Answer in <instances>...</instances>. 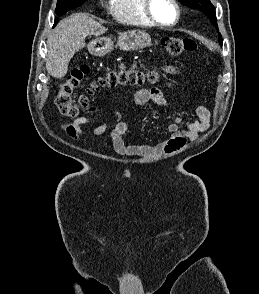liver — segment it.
Returning a JSON list of instances; mask_svg holds the SVG:
<instances>
[{"label": "liver", "mask_w": 259, "mask_h": 294, "mask_svg": "<svg viewBox=\"0 0 259 294\" xmlns=\"http://www.w3.org/2000/svg\"><path fill=\"white\" fill-rule=\"evenodd\" d=\"M107 28L86 13H76L61 20L47 41L46 69L54 78H62L76 52L84 48L89 35H100Z\"/></svg>", "instance_id": "liver-1"}]
</instances>
